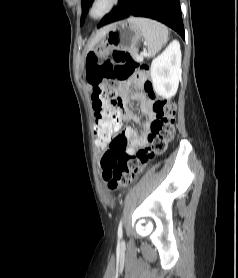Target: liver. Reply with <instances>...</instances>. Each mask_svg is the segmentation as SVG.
I'll list each match as a JSON object with an SVG mask.
<instances>
[{
	"label": "liver",
	"instance_id": "6515ba94",
	"mask_svg": "<svg viewBox=\"0 0 238 278\" xmlns=\"http://www.w3.org/2000/svg\"><path fill=\"white\" fill-rule=\"evenodd\" d=\"M106 30H107V27L101 29L100 31H98L96 33V35L94 36V38L92 39L88 49H87V52L92 50L94 48V46L100 41V39L105 35L106 33Z\"/></svg>",
	"mask_w": 238,
	"mask_h": 278
}]
</instances>
